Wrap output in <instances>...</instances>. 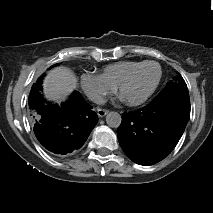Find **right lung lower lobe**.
Instances as JSON below:
<instances>
[{"label": "right lung lower lobe", "instance_id": "right-lung-lower-lobe-1", "mask_svg": "<svg viewBox=\"0 0 213 213\" xmlns=\"http://www.w3.org/2000/svg\"><path fill=\"white\" fill-rule=\"evenodd\" d=\"M42 79L33 85L28 98L34 132L40 143L56 154H67L79 149L98 122L92 107L74 92L60 104L46 101L41 94Z\"/></svg>", "mask_w": 213, "mask_h": 213}]
</instances>
